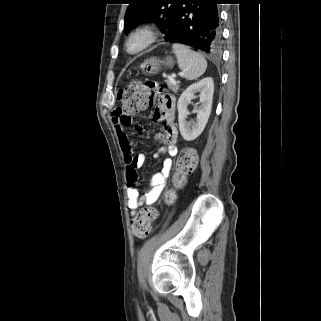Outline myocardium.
Returning <instances> with one entry per match:
<instances>
[{"mask_svg":"<svg viewBox=\"0 0 321 321\" xmlns=\"http://www.w3.org/2000/svg\"><path fill=\"white\" fill-rule=\"evenodd\" d=\"M157 37L158 32L154 26L149 24L138 26L127 36L125 40V49L129 54H139L149 48L157 40ZM136 38H141L142 43L137 48L132 49L131 43Z\"/></svg>","mask_w":321,"mask_h":321,"instance_id":"f54148a6","label":"myocardium"}]
</instances>
